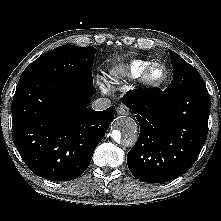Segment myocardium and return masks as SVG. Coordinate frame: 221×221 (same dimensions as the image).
I'll use <instances>...</instances> for the list:
<instances>
[{
    "label": "myocardium",
    "mask_w": 221,
    "mask_h": 221,
    "mask_svg": "<svg viewBox=\"0 0 221 221\" xmlns=\"http://www.w3.org/2000/svg\"><path fill=\"white\" fill-rule=\"evenodd\" d=\"M157 67H161L164 70V74L162 78H160L159 80H154L151 78V73ZM168 79H169L168 68L164 64L159 62H154L150 64L140 76V82L142 86L146 89L160 88L167 83Z\"/></svg>",
    "instance_id": "f54148a6"
}]
</instances>
